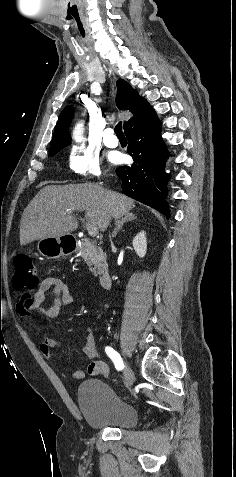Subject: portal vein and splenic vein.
<instances>
[{
  "label": "portal vein and splenic vein",
  "instance_id": "1",
  "mask_svg": "<svg viewBox=\"0 0 236 477\" xmlns=\"http://www.w3.org/2000/svg\"><path fill=\"white\" fill-rule=\"evenodd\" d=\"M67 211H70V210H67ZM87 230H88L89 235L92 236V237H94L98 234V228L96 226L88 224L87 225Z\"/></svg>",
  "mask_w": 236,
  "mask_h": 477
}]
</instances>
